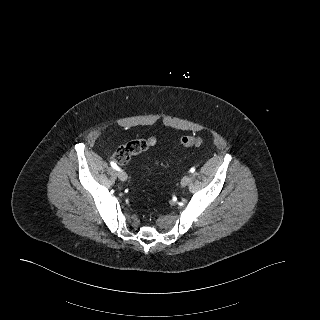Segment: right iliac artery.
Here are the masks:
<instances>
[{"label": "right iliac artery", "instance_id": "82829eb1", "mask_svg": "<svg viewBox=\"0 0 320 320\" xmlns=\"http://www.w3.org/2000/svg\"><path fill=\"white\" fill-rule=\"evenodd\" d=\"M110 164H111L112 168H114L115 170H117V171L121 170L114 161H112Z\"/></svg>", "mask_w": 320, "mask_h": 320}]
</instances>
